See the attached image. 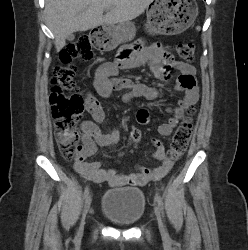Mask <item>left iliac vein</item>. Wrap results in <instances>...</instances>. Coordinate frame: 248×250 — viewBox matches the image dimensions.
I'll use <instances>...</instances> for the list:
<instances>
[{
  "label": "left iliac vein",
  "mask_w": 248,
  "mask_h": 250,
  "mask_svg": "<svg viewBox=\"0 0 248 250\" xmlns=\"http://www.w3.org/2000/svg\"><path fill=\"white\" fill-rule=\"evenodd\" d=\"M154 213H155V216L157 218L159 228L161 230H163L164 229V225H163V221H162L160 210H159V208L157 206L154 209Z\"/></svg>",
  "instance_id": "1"
}]
</instances>
